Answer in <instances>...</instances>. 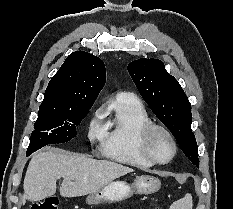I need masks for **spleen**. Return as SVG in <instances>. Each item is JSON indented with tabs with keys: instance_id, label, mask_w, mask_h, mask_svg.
<instances>
[{
	"instance_id": "3e777b00",
	"label": "spleen",
	"mask_w": 233,
	"mask_h": 209,
	"mask_svg": "<svg viewBox=\"0 0 233 209\" xmlns=\"http://www.w3.org/2000/svg\"><path fill=\"white\" fill-rule=\"evenodd\" d=\"M193 201L191 194H186L183 198L180 200L174 202L170 209H192Z\"/></svg>"
}]
</instances>
